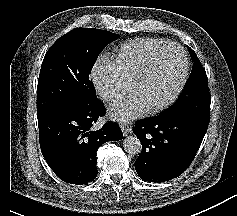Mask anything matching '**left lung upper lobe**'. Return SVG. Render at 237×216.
I'll list each match as a JSON object with an SVG mask.
<instances>
[{"instance_id":"obj_1","label":"left lung upper lobe","mask_w":237,"mask_h":216,"mask_svg":"<svg viewBox=\"0 0 237 216\" xmlns=\"http://www.w3.org/2000/svg\"><path fill=\"white\" fill-rule=\"evenodd\" d=\"M188 49L194 62L191 75L178 101L161 115L182 117L195 124L208 125L211 96L207 75L196 53L190 47Z\"/></svg>"}]
</instances>
